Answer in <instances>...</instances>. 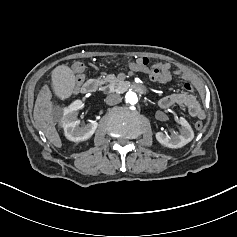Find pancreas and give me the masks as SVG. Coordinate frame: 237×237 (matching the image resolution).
Returning a JSON list of instances; mask_svg holds the SVG:
<instances>
[{
    "instance_id": "pancreas-1",
    "label": "pancreas",
    "mask_w": 237,
    "mask_h": 237,
    "mask_svg": "<svg viewBox=\"0 0 237 237\" xmlns=\"http://www.w3.org/2000/svg\"><path fill=\"white\" fill-rule=\"evenodd\" d=\"M102 80H103V82L110 83V86H105L103 88V91H106V90L114 91L118 85V80L116 79V77L114 75H107L106 77H103Z\"/></svg>"
}]
</instances>
